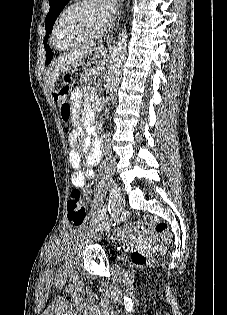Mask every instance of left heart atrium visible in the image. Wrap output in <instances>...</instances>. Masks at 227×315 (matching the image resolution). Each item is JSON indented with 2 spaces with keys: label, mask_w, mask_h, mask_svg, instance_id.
I'll return each mask as SVG.
<instances>
[{
  "label": "left heart atrium",
  "mask_w": 227,
  "mask_h": 315,
  "mask_svg": "<svg viewBox=\"0 0 227 315\" xmlns=\"http://www.w3.org/2000/svg\"><path fill=\"white\" fill-rule=\"evenodd\" d=\"M100 6L102 13L106 19V24L112 19V15L116 10V0H95ZM105 24V25H106Z\"/></svg>",
  "instance_id": "39dd6f15"
}]
</instances>
